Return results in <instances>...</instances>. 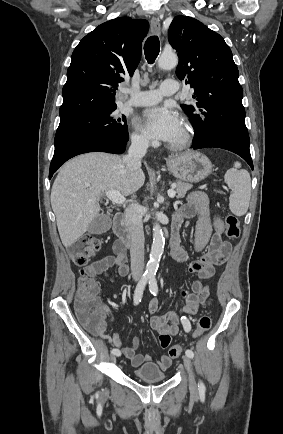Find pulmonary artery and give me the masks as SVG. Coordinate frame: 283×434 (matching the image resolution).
<instances>
[{"mask_svg":"<svg viewBox=\"0 0 283 434\" xmlns=\"http://www.w3.org/2000/svg\"><path fill=\"white\" fill-rule=\"evenodd\" d=\"M179 89L178 83L175 80H164L160 87L149 91H132L128 90L130 99L128 104L131 106H148L159 102L164 96L175 94Z\"/></svg>","mask_w":283,"mask_h":434,"instance_id":"obj_1","label":"pulmonary artery"}]
</instances>
